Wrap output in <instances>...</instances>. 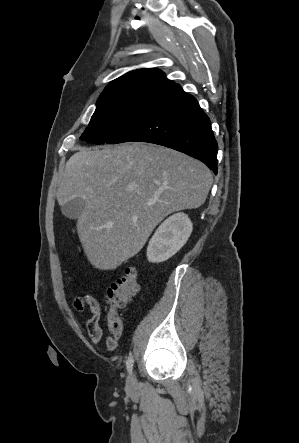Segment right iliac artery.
<instances>
[{"mask_svg":"<svg viewBox=\"0 0 299 443\" xmlns=\"http://www.w3.org/2000/svg\"><path fill=\"white\" fill-rule=\"evenodd\" d=\"M133 362H134V360H133V356L130 355V356L128 357V359H127V362H126V367H127V370H128L129 372L132 371V368H133Z\"/></svg>","mask_w":299,"mask_h":443,"instance_id":"right-iliac-artery-1","label":"right iliac artery"}]
</instances>
